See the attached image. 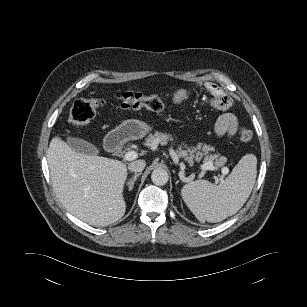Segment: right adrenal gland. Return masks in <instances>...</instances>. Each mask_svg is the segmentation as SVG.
I'll return each mask as SVG.
<instances>
[{
  "mask_svg": "<svg viewBox=\"0 0 307 307\" xmlns=\"http://www.w3.org/2000/svg\"><path fill=\"white\" fill-rule=\"evenodd\" d=\"M140 175H141V173H135L134 176H133V178L130 179V180L128 181L127 184H128L129 190H132V188H133V186H134V183H135L137 177H139Z\"/></svg>",
  "mask_w": 307,
  "mask_h": 307,
  "instance_id": "1",
  "label": "right adrenal gland"
}]
</instances>
